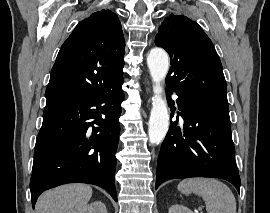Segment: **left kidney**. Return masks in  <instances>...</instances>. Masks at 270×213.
<instances>
[{
    "label": "left kidney",
    "mask_w": 270,
    "mask_h": 213,
    "mask_svg": "<svg viewBox=\"0 0 270 213\" xmlns=\"http://www.w3.org/2000/svg\"><path fill=\"white\" fill-rule=\"evenodd\" d=\"M168 213H193V212L183 205L174 204L169 208Z\"/></svg>",
    "instance_id": "1"
}]
</instances>
